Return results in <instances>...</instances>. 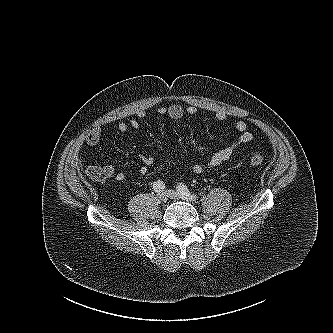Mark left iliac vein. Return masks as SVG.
I'll return each mask as SVG.
<instances>
[{
	"instance_id": "obj_1",
	"label": "left iliac vein",
	"mask_w": 333,
	"mask_h": 333,
	"mask_svg": "<svg viewBox=\"0 0 333 333\" xmlns=\"http://www.w3.org/2000/svg\"><path fill=\"white\" fill-rule=\"evenodd\" d=\"M165 193L171 199H183L185 201H191L190 199L183 197L179 192H176L174 190H167Z\"/></svg>"
}]
</instances>
